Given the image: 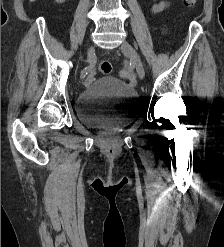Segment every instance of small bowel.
I'll return each mask as SVG.
<instances>
[{
  "label": "small bowel",
  "mask_w": 224,
  "mask_h": 247,
  "mask_svg": "<svg viewBox=\"0 0 224 247\" xmlns=\"http://www.w3.org/2000/svg\"><path fill=\"white\" fill-rule=\"evenodd\" d=\"M168 6H169V4L165 1L159 2L151 8V12L154 14H157V13L165 10Z\"/></svg>",
  "instance_id": "small-bowel-1"
}]
</instances>
